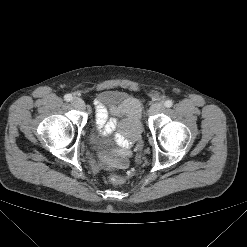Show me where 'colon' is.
<instances>
[{
    "instance_id": "colon-1",
    "label": "colon",
    "mask_w": 247,
    "mask_h": 247,
    "mask_svg": "<svg viewBox=\"0 0 247 247\" xmlns=\"http://www.w3.org/2000/svg\"><path fill=\"white\" fill-rule=\"evenodd\" d=\"M132 173H129L127 176L114 175L110 178L111 182L115 185H121L126 182L128 178H130Z\"/></svg>"
}]
</instances>
